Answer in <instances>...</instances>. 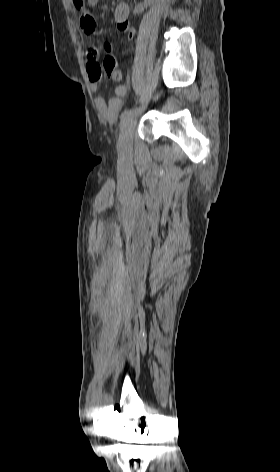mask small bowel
I'll list each match as a JSON object with an SVG mask.
<instances>
[{"label":"small bowel","mask_w":280,"mask_h":472,"mask_svg":"<svg viewBox=\"0 0 280 472\" xmlns=\"http://www.w3.org/2000/svg\"><path fill=\"white\" fill-rule=\"evenodd\" d=\"M75 8L80 12V27L86 35H93L96 31V21L92 14L87 9L83 0H72ZM99 1V0H97ZM130 7L125 2L117 4L114 10V19L119 31L126 33L128 38L132 40L135 36V30L129 23ZM104 50L106 52L105 59L115 60L112 55V48L109 43H104ZM100 50L97 47H90L86 52L87 58V73L90 81V86L93 91H96L99 82L102 78L103 69L99 64ZM127 94V88L119 85L115 88V96L110 100L103 97L95 99V105L100 114L109 122H114L116 116L122 106L123 98Z\"/></svg>","instance_id":"small-bowel-1"}]
</instances>
